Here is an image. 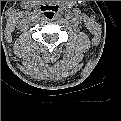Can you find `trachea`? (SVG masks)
Returning a JSON list of instances; mask_svg holds the SVG:
<instances>
[{"instance_id":"obj_1","label":"trachea","mask_w":121,"mask_h":121,"mask_svg":"<svg viewBox=\"0 0 121 121\" xmlns=\"http://www.w3.org/2000/svg\"><path fill=\"white\" fill-rule=\"evenodd\" d=\"M55 10L53 8H49L47 9V11L45 12V16L48 18V19H53L55 17Z\"/></svg>"}]
</instances>
